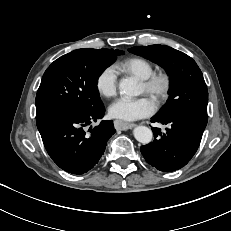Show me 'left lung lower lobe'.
<instances>
[{
    "instance_id": "0a47b994",
    "label": "left lung lower lobe",
    "mask_w": 231,
    "mask_h": 231,
    "mask_svg": "<svg viewBox=\"0 0 231 231\" xmlns=\"http://www.w3.org/2000/svg\"><path fill=\"white\" fill-rule=\"evenodd\" d=\"M152 122L169 124L165 133L152 128L155 139L140 148L147 163L163 172H171L185 166L196 153L207 119L188 114L175 113L155 115Z\"/></svg>"
}]
</instances>
